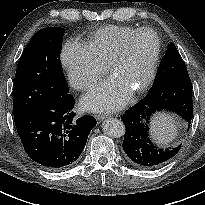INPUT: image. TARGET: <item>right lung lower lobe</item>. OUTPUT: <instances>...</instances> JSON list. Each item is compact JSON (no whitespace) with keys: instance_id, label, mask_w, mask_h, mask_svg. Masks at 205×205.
Masks as SVG:
<instances>
[{"instance_id":"98d812e1","label":"right lung lower lobe","mask_w":205,"mask_h":205,"mask_svg":"<svg viewBox=\"0 0 205 205\" xmlns=\"http://www.w3.org/2000/svg\"><path fill=\"white\" fill-rule=\"evenodd\" d=\"M74 103L66 94L40 106L16 126L29 157L50 170L73 166L97 124L89 115L75 118Z\"/></svg>"}]
</instances>
